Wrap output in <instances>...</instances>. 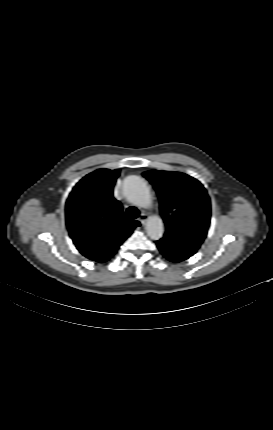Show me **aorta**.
I'll use <instances>...</instances> for the list:
<instances>
[{
  "instance_id": "aorta-1",
  "label": "aorta",
  "mask_w": 273,
  "mask_h": 430,
  "mask_svg": "<svg viewBox=\"0 0 273 430\" xmlns=\"http://www.w3.org/2000/svg\"><path fill=\"white\" fill-rule=\"evenodd\" d=\"M126 198L138 207L149 209L152 206V197L147 183L138 176H129L124 183ZM148 236L152 240H159L164 234V224L157 215H152L146 226Z\"/></svg>"
}]
</instances>
